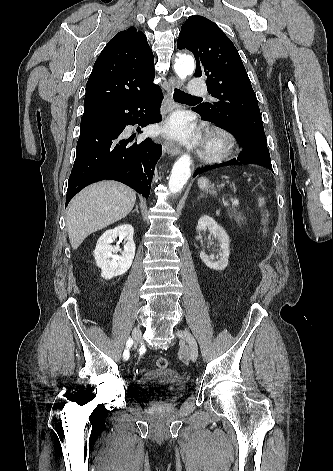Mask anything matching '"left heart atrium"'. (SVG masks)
Listing matches in <instances>:
<instances>
[{
    "label": "left heart atrium",
    "instance_id": "obj_1",
    "mask_svg": "<svg viewBox=\"0 0 333 471\" xmlns=\"http://www.w3.org/2000/svg\"><path fill=\"white\" fill-rule=\"evenodd\" d=\"M166 131L169 135L184 142H195L197 140V135L183 115L171 118L167 123Z\"/></svg>",
    "mask_w": 333,
    "mask_h": 471
}]
</instances>
